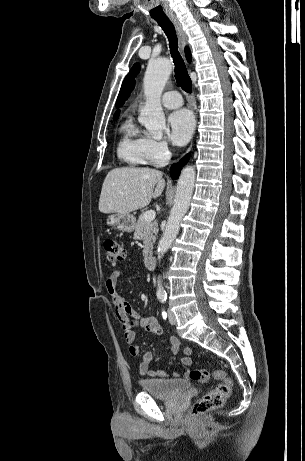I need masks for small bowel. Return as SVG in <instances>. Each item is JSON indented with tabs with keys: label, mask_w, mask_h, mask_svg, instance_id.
Returning a JSON list of instances; mask_svg holds the SVG:
<instances>
[{
	"label": "small bowel",
	"mask_w": 305,
	"mask_h": 461,
	"mask_svg": "<svg viewBox=\"0 0 305 461\" xmlns=\"http://www.w3.org/2000/svg\"><path fill=\"white\" fill-rule=\"evenodd\" d=\"M122 273L120 271L113 272L106 280V290L110 296V299L114 305L115 315L119 320L122 329L124 331V338L128 345L129 353L133 356L138 355L139 347L136 341V330L142 328L152 334H160L162 329L157 319L152 316H140L138 311L127 302L124 297L118 291V279ZM170 352L172 355H177L181 350V344L177 337L171 336L168 338ZM193 350L190 347L182 350L181 362L185 366H191L193 360L190 355ZM154 359L152 352H146L138 365V370L142 376L150 377H163L166 372L160 369H151L149 367L150 362Z\"/></svg>",
	"instance_id": "obj_1"
}]
</instances>
